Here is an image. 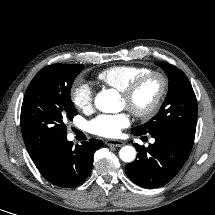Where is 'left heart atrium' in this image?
I'll use <instances>...</instances> for the list:
<instances>
[{"instance_id": "39dd6f15", "label": "left heart atrium", "mask_w": 215, "mask_h": 215, "mask_svg": "<svg viewBox=\"0 0 215 215\" xmlns=\"http://www.w3.org/2000/svg\"><path fill=\"white\" fill-rule=\"evenodd\" d=\"M130 124V116L126 112L117 114H100L89 123L91 133L105 137H117L123 128Z\"/></svg>"}]
</instances>
